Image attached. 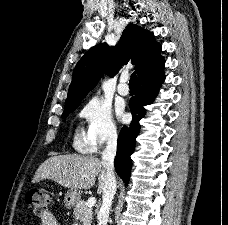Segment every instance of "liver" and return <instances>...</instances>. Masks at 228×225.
<instances>
[{
	"instance_id": "6515ba94",
	"label": "liver",
	"mask_w": 228,
	"mask_h": 225,
	"mask_svg": "<svg viewBox=\"0 0 228 225\" xmlns=\"http://www.w3.org/2000/svg\"><path fill=\"white\" fill-rule=\"evenodd\" d=\"M98 177V193H101L106 177V171L96 157L85 155H59L50 157L37 169L32 183L51 179L66 189H91Z\"/></svg>"
}]
</instances>
